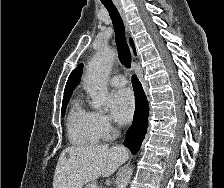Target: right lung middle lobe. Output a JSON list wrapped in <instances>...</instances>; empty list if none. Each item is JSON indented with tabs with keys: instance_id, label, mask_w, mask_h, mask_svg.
Masks as SVG:
<instances>
[{
	"instance_id": "right-lung-middle-lobe-1",
	"label": "right lung middle lobe",
	"mask_w": 224,
	"mask_h": 188,
	"mask_svg": "<svg viewBox=\"0 0 224 188\" xmlns=\"http://www.w3.org/2000/svg\"><path fill=\"white\" fill-rule=\"evenodd\" d=\"M68 101H69V100L64 101V102L62 103V116H64V115H65V110H66V107H67Z\"/></svg>"
}]
</instances>
